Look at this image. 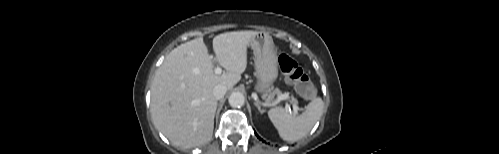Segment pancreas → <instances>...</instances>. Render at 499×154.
I'll return each mask as SVG.
<instances>
[{
    "mask_svg": "<svg viewBox=\"0 0 499 154\" xmlns=\"http://www.w3.org/2000/svg\"><path fill=\"white\" fill-rule=\"evenodd\" d=\"M272 89H273V87H271L270 91H271ZM270 91H269V92H270ZM275 95H277L278 97H284V99H289V100H290V102H291L294 106H296V107H297V100H296L293 96L289 97V96H288V95H289L288 93H282L279 89H276V90H273L272 92H270V93H269V95H268V97H269L270 99H272V98H274V96H275Z\"/></svg>",
    "mask_w": 499,
    "mask_h": 154,
    "instance_id": "obj_1",
    "label": "pancreas"
}]
</instances>
